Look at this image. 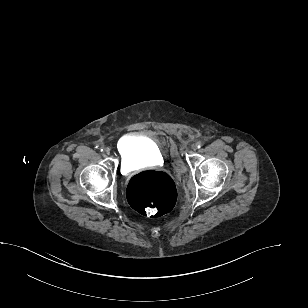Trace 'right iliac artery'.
<instances>
[{"label": "right iliac artery", "mask_w": 308, "mask_h": 308, "mask_svg": "<svg viewBox=\"0 0 308 308\" xmlns=\"http://www.w3.org/2000/svg\"><path fill=\"white\" fill-rule=\"evenodd\" d=\"M96 148H98V146H96ZM99 150L102 152L104 150L103 147H99Z\"/></svg>", "instance_id": "right-iliac-artery-1"}]
</instances>
